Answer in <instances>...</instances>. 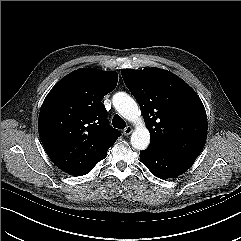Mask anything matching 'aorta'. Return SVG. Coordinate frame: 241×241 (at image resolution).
<instances>
[{"label": "aorta", "mask_w": 241, "mask_h": 241, "mask_svg": "<svg viewBox=\"0 0 241 241\" xmlns=\"http://www.w3.org/2000/svg\"><path fill=\"white\" fill-rule=\"evenodd\" d=\"M113 105L118 113L130 122L136 124L131 135V145L137 150H145L150 143V132L146 128L136 101L125 92L113 96Z\"/></svg>", "instance_id": "obj_1"}]
</instances>
